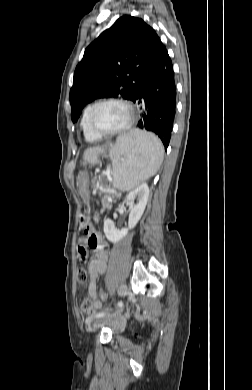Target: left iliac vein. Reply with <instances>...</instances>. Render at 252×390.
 <instances>
[{
    "mask_svg": "<svg viewBox=\"0 0 252 390\" xmlns=\"http://www.w3.org/2000/svg\"><path fill=\"white\" fill-rule=\"evenodd\" d=\"M126 290H127V287H126V285L123 284V285H121V286L119 287V289H118V294H119V295H123V294H125ZM123 310H124V307H122V308L116 310V311L113 312L112 314H108V315H106V316H104V317H100V318L96 319V320L94 321L93 325H92V328H93L94 330H95V329H98L99 327H101L102 325H104V324H105L107 321H109V320H119L120 317H121V314H122Z\"/></svg>",
    "mask_w": 252,
    "mask_h": 390,
    "instance_id": "obj_1",
    "label": "left iliac vein"
}]
</instances>
